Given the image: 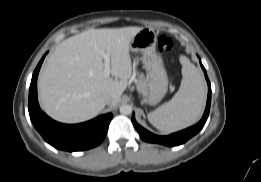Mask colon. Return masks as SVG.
<instances>
[{
    "instance_id": "1",
    "label": "colon",
    "mask_w": 261,
    "mask_h": 182,
    "mask_svg": "<svg viewBox=\"0 0 261 182\" xmlns=\"http://www.w3.org/2000/svg\"><path fill=\"white\" fill-rule=\"evenodd\" d=\"M173 46L174 41L170 37L166 35H161L158 38V48L161 53L169 52L173 48Z\"/></svg>"
}]
</instances>
